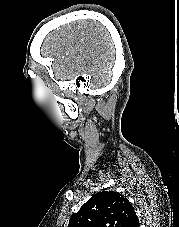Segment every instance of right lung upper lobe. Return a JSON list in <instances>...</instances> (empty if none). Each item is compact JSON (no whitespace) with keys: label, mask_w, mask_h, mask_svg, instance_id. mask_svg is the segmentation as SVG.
Listing matches in <instances>:
<instances>
[{"label":"right lung upper lobe","mask_w":179,"mask_h":227,"mask_svg":"<svg viewBox=\"0 0 179 227\" xmlns=\"http://www.w3.org/2000/svg\"><path fill=\"white\" fill-rule=\"evenodd\" d=\"M68 227H139V220L122 194L102 191L71 216Z\"/></svg>","instance_id":"obj_1"}]
</instances>
